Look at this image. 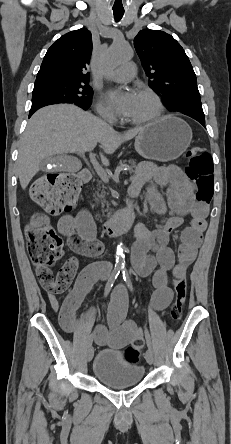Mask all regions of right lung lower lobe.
Here are the masks:
<instances>
[{"mask_svg": "<svg viewBox=\"0 0 231 444\" xmlns=\"http://www.w3.org/2000/svg\"><path fill=\"white\" fill-rule=\"evenodd\" d=\"M39 108H41V107H37V108H31V110H30V113H29V117L36 111V110H38ZM86 110V109H85Z\"/></svg>", "mask_w": 231, "mask_h": 444, "instance_id": "obj_1", "label": "right lung lower lobe"}]
</instances>
